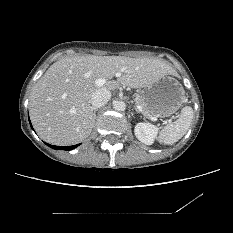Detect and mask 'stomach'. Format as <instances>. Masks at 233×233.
Here are the masks:
<instances>
[{"label":"stomach","instance_id":"obj_1","mask_svg":"<svg viewBox=\"0 0 233 233\" xmlns=\"http://www.w3.org/2000/svg\"><path fill=\"white\" fill-rule=\"evenodd\" d=\"M141 97L153 115L168 117L183 104L185 91L177 79L164 76L152 85L144 87Z\"/></svg>","mask_w":233,"mask_h":233}]
</instances>
